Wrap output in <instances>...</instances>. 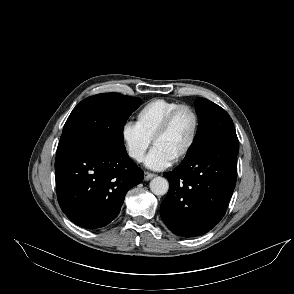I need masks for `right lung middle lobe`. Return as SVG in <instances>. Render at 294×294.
Instances as JSON below:
<instances>
[{"mask_svg":"<svg viewBox=\"0 0 294 294\" xmlns=\"http://www.w3.org/2000/svg\"><path fill=\"white\" fill-rule=\"evenodd\" d=\"M140 104V98L118 93L97 94L84 99L68 117L57 153L75 145L123 144L124 125Z\"/></svg>","mask_w":294,"mask_h":294,"instance_id":"right-lung-middle-lobe-1","label":"right lung middle lobe"}]
</instances>
